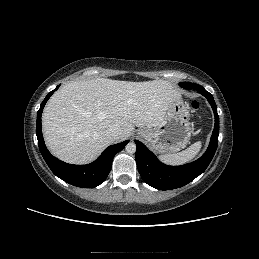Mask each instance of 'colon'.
I'll list each match as a JSON object with an SVG mask.
<instances>
[{
  "mask_svg": "<svg viewBox=\"0 0 259 259\" xmlns=\"http://www.w3.org/2000/svg\"><path fill=\"white\" fill-rule=\"evenodd\" d=\"M189 107L191 110H197L200 107V103L197 100H192L189 103Z\"/></svg>",
  "mask_w": 259,
  "mask_h": 259,
  "instance_id": "5ec220e1",
  "label": "colon"
}]
</instances>
